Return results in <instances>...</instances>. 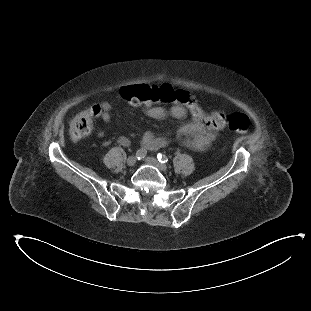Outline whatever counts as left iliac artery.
<instances>
[{
  "instance_id": "44dca946",
  "label": "left iliac artery",
  "mask_w": 311,
  "mask_h": 311,
  "mask_svg": "<svg viewBox=\"0 0 311 311\" xmlns=\"http://www.w3.org/2000/svg\"><path fill=\"white\" fill-rule=\"evenodd\" d=\"M157 159L161 163H167L168 162V157L166 155H164V154H161V153L157 154Z\"/></svg>"
}]
</instances>
